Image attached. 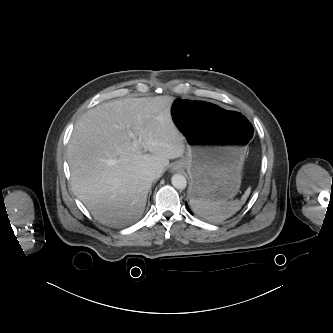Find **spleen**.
I'll return each instance as SVG.
<instances>
[{
    "mask_svg": "<svg viewBox=\"0 0 333 333\" xmlns=\"http://www.w3.org/2000/svg\"><path fill=\"white\" fill-rule=\"evenodd\" d=\"M249 194L250 188L246 190L241 200L205 201L191 198L189 202L192 210L199 216L213 222H221L239 211L246 202Z\"/></svg>",
    "mask_w": 333,
    "mask_h": 333,
    "instance_id": "1",
    "label": "spleen"
}]
</instances>
